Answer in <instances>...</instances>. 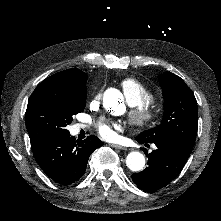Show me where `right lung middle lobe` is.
Masks as SVG:
<instances>
[{
	"label": "right lung middle lobe",
	"instance_id": "dd1d6c3e",
	"mask_svg": "<svg viewBox=\"0 0 221 221\" xmlns=\"http://www.w3.org/2000/svg\"><path fill=\"white\" fill-rule=\"evenodd\" d=\"M87 88L60 91L49 86H37L29 98L26 128L31 148L69 135L66 126L72 116L84 110Z\"/></svg>",
	"mask_w": 221,
	"mask_h": 221
}]
</instances>
